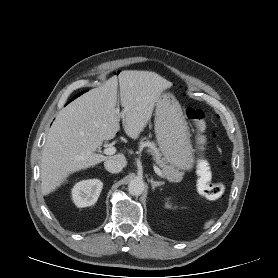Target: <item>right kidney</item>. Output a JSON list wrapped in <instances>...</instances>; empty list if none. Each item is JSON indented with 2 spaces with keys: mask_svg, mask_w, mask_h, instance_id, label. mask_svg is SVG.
I'll list each match as a JSON object with an SVG mask.
<instances>
[{
  "mask_svg": "<svg viewBox=\"0 0 278 278\" xmlns=\"http://www.w3.org/2000/svg\"><path fill=\"white\" fill-rule=\"evenodd\" d=\"M103 183L99 179L82 180L72 188V199L77 207L94 205L102 191Z\"/></svg>",
  "mask_w": 278,
  "mask_h": 278,
  "instance_id": "obj_1",
  "label": "right kidney"
}]
</instances>
